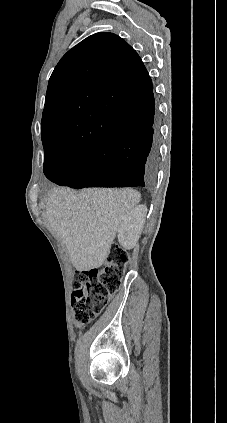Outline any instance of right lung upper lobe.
<instances>
[{
  "label": "right lung upper lobe",
  "instance_id": "right-lung-upper-lobe-1",
  "mask_svg": "<svg viewBox=\"0 0 227 423\" xmlns=\"http://www.w3.org/2000/svg\"><path fill=\"white\" fill-rule=\"evenodd\" d=\"M152 90L141 58L126 41L112 33L91 35L63 56L50 77L42 142L86 151L122 135L131 122L108 118L101 108L146 99Z\"/></svg>",
  "mask_w": 227,
  "mask_h": 423
}]
</instances>
